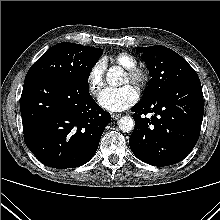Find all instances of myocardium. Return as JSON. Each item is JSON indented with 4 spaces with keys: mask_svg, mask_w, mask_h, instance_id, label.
<instances>
[{
    "mask_svg": "<svg viewBox=\"0 0 220 220\" xmlns=\"http://www.w3.org/2000/svg\"><path fill=\"white\" fill-rule=\"evenodd\" d=\"M127 75L129 80L138 87H143L148 81L147 72L138 66L127 69Z\"/></svg>",
    "mask_w": 220,
    "mask_h": 220,
    "instance_id": "f54148a6",
    "label": "myocardium"
}]
</instances>
